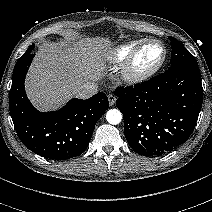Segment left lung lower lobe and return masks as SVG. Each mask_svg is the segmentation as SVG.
<instances>
[{
    "label": "left lung lower lobe",
    "mask_w": 212,
    "mask_h": 212,
    "mask_svg": "<svg viewBox=\"0 0 212 212\" xmlns=\"http://www.w3.org/2000/svg\"><path fill=\"white\" fill-rule=\"evenodd\" d=\"M130 147L143 156H160L193 132L203 101L198 64L169 69L141 84L116 88Z\"/></svg>",
    "instance_id": "0a47b994"
}]
</instances>
